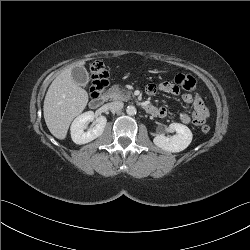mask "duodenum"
I'll list each match as a JSON object with an SVG mask.
<instances>
[{"instance_id": "1", "label": "duodenum", "mask_w": 250, "mask_h": 250, "mask_svg": "<svg viewBox=\"0 0 250 250\" xmlns=\"http://www.w3.org/2000/svg\"><path fill=\"white\" fill-rule=\"evenodd\" d=\"M105 101L106 96L104 95L93 97L90 101V107L93 109L100 108L105 103ZM145 110L152 115L156 113V108L151 105L145 106Z\"/></svg>"}]
</instances>
